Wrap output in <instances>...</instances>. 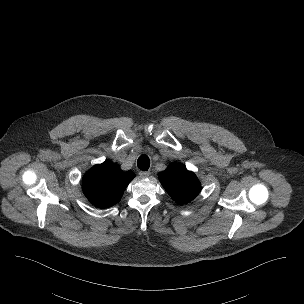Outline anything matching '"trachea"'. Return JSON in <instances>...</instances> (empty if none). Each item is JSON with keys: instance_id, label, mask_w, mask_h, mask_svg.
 I'll list each match as a JSON object with an SVG mask.
<instances>
[{"instance_id": "3493384b", "label": "trachea", "mask_w": 304, "mask_h": 304, "mask_svg": "<svg viewBox=\"0 0 304 304\" xmlns=\"http://www.w3.org/2000/svg\"><path fill=\"white\" fill-rule=\"evenodd\" d=\"M137 166L140 170L147 171L150 167V159L147 155H141L137 160Z\"/></svg>"}]
</instances>
